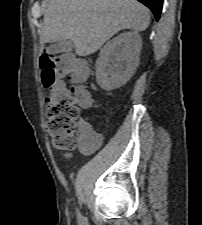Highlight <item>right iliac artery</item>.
I'll return each mask as SVG.
<instances>
[{"instance_id": "right-iliac-artery-1", "label": "right iliac artery", "mask_w": 202, "mask_h": 225, "mask_svg": "<svg viewBox=\"0 0 202 225\" xmlns=\"http://www.w3.org/2000/svg\"><path fill=\"white\" fill-rule=\"evenodd\" d=\"M77 217H78L79 220L81 219V215L78 211H77Z\"/></svg>"}]
</instances>
